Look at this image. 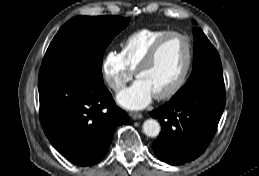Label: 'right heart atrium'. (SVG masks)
Returning <instances> with one entry per match:
<instances>
[{"label":"right heart atrium","instance_id":"d8ad5b80","mask_svg":"<svg viewBox=\"0 0 259 176\" xmlns=\"http://www.w3.org/2000/svg\"><path fill=\"white\" fill-rule=\"evenodd\" d=\"M101 74L104 82L115 92H120L133 78L120 52L109 51L101 62Z\"/></svg>","mask_w":259,"mask_h":176}]
</instances>
